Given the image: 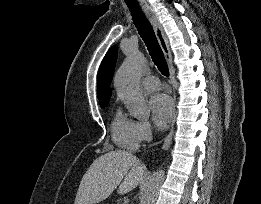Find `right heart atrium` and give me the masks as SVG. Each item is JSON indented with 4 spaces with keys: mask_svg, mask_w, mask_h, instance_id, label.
Listing matches in <instances>:
<instances>
[{
    "mask_svg": "<svg viewBox=\"0 0 261 204\" xmlns=\"http://www.w3.org/2000/svg\"><path fill=\"white\" fill-rule=\"evenodd\" d=\"M136 135L139 143L151 140L153 137L151 124L146 120L136 121Z\"/></svg>",
    "mask_w": 261,
    "mask_h": 204,
    "instance_id": "1",
    "label": "right heart atrium"
}]
</instances>
